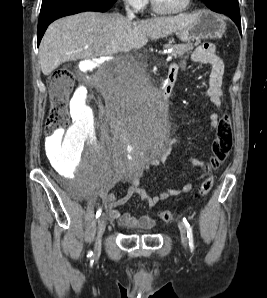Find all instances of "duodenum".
I'll return each instance as SVG.
<instances>
[{"instance_id": "obj_1", "label": "duodenum", "mask_w": 267, "mask_h": 298, "mask_svg": "<svg viewBox=\"0 0 267 298\" xmlns=\"http://www.w3.org/2000/svg\"><path fill=\"white\" fill-rule=\"evenodd\" d=\"M177 72L173 68H169L168 75L158 93V95H162L163 98H167L170 91L172 90L174 83L176 81Z\"/></svg>"}]
</instances>
